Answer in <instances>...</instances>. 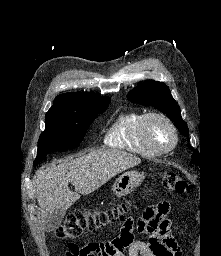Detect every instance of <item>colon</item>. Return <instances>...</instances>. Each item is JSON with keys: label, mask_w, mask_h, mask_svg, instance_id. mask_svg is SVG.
<instances>
[{"label": "colon", "mask_w": 221, "mask_h": 256, "mask_svg": "<svg viewBox=\"0 0 221 256\" xmlns=\"http://www.w3.org/2000/svg\"><path fill=\"white\" fill-rule=\"evenodd\" d=\"M162 185L167 190L180 194L189 190L187 181L173 172L163 174ZM129 205L122 203L104 210H76L68 214L57 227L56 235L60 239H73L85 231L100 230L116 221H123V225H126L127 219L124 220V215ZM69 248L72 252L77 251V246L73 244H70Z\"/></svg>", "instance_id": "5ec220e1"}]
</instances>
